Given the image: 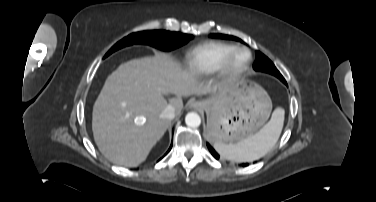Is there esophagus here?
Here are the masks:
<instances>
[{"mask_svg": "<svg viewBox=\"0 0 376 202\" xmlns=\"http://www.w3.org/2000/svg\"><path fill=\"white\" fill-rule=\"evenodd\" d=\"M191 107L194 108V109H199V108H201V103L197 102V101L192 102Z\"/></svg>", "mask_w": 376, "mask_h": 202, "instance_id": "34e87169", "label": "esophagus"}]
</instances>
